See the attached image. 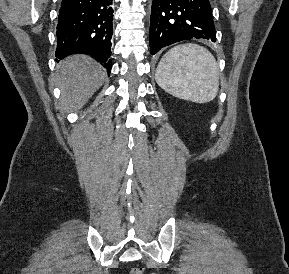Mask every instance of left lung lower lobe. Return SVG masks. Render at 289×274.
Here are the masks:
<instances>
[{"instance_id": "left-lung-lower-lobe-1", "label": "left lung lower lobe", "mask_w": 289, "mask_h": 274, "mask_svg": "<svg viewBox=\"0 0 289 274\" xmlns=\"http://www.w3.org/2000/svg\"><path fill=\"white\" fill-rule=\"evenodd\" d=\"M216 41L209 0H153L149 41L151 54L190 39Z\"/></svg>"}]
</instances>
